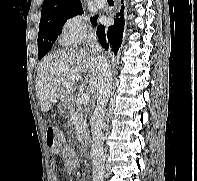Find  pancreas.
Masks as SVG:
<instances>
[{"label": "pancreas", "instance_id": "1", "mask_svg": "<svg viewBox=\"0 0 197 181\" xmlns=\"http://www.w3.org/2000/svg\"><path fill=\"white\" fill-rule=\"evenodd\" d=\"M71 120L75 126V133L77 139L82 142L89 139V127L87 124V113L83 110L82 104L78 103L76 107L71 109Z\"/></svg>", "mask_w": 197, "mask_h": 181}]
</instances>
